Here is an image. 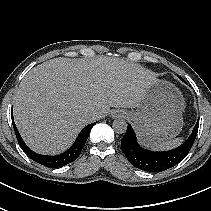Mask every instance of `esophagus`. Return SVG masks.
<instances>
[{"label": "esophagus", "mask_w": 211, "mask_h": 211, "mask_svg": "<svg viewBox=\"0 0 211 211\" xmlns=\"http://www.w3.org/2000/svg\"><path fill=\"white\" fill-rule=\"evenodd\" d=\"M111 116H112V118L122 117L123 116V112L116 110V111H113L111 113Z\"/></svg>", "instance_id": "34e87169"}]
</instances>
